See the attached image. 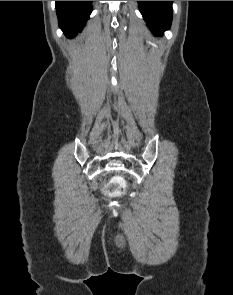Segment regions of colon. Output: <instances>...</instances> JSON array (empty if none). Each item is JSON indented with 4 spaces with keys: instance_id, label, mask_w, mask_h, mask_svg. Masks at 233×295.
Listing matches in <instances>:
<instances>
[{
    "instance_id": "1",
    "label": "colon",
    "mask_w": 233,
    "mask_h": 295,
    "mask_svg": "<svg viewBox=\"0 0 233 295\" xmlns=\"http://www.w3.org/2000/svg\"><path fill=\"white\" fill-rule=\"evenodd\" d=\"M125 181L121 177L113 178L107 187V192L110 195H119L124 191Z\"/></svg>"
}]
</instances>
